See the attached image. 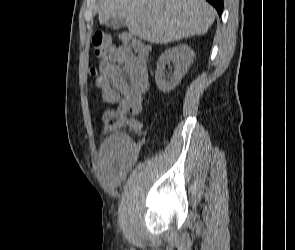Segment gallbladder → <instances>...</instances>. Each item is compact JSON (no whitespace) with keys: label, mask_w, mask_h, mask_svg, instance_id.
Segmentation results:
<instances>
[{"label":"gallbladder","mask_w":295,"mask_h":250,"mask_svg":"<svg viewBox=\"0 0 295 250\" xmlns=\"http://www.w3.org/2000/svg\"><path fill=\"white\" fill-rule=\"evenodd\" d=\"M104 25L111 29L118 30L125 25V21L123 18H110L104 23Z\"/></svg>","instance_id":"obj_1"}]
</instances>
